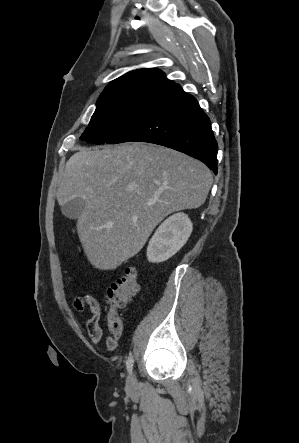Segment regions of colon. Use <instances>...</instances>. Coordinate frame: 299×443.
I'll list each match as a JSON object with an SVG mask.
<instances>
[{"mask_svg":"<svg viewBox=\"0 0 299 443\" xmlns=\"http://www.w3.org/2000/svg\"><path fill=\"white\" fill-rule=\"evenodd\" d=\"M139 289L138 272L135 267H128L120 278L111 284L105 295L109 309L104 320L108 332L118 336L122 330V319L117 311L126 306Z\"/></svg>","mask_w":299,"mask_h":443,"instance_id":"colon-1","label":"colon"}]
</instances>
